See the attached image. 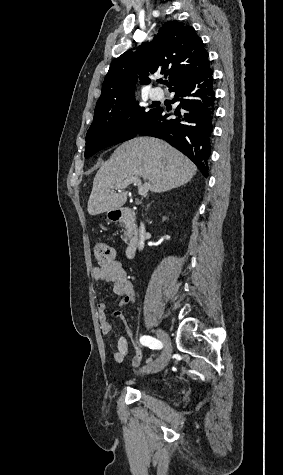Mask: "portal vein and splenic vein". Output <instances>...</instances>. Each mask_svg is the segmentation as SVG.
I'll list each match as a JSON object with an SVG mask.
<instances>
[{
    "instance_id": "18ae733b",
    "label": "portal vein and splenic vein",
    "mask_w": 283,
    "mask_h": 475,
    "mask_svg": "<svg viewBox=\"0 0 283 475\" xmlns=\"http://www.w3.org/2000/svg\"><path fill=\"white\" fill-rule=\"evenodd\" d=\"M129 184H135V186H138V194H140V196H146L150 188V182H148V184H141V180H139L138 176H132V178H126L122 184H116V190L126 188Z\"/></svg>"
}]
</instances>
